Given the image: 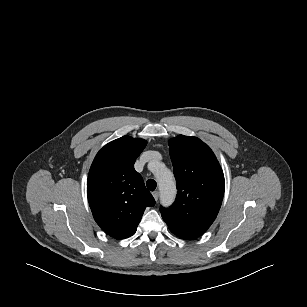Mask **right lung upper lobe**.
<instances>
[{
  "label": "right lung upper lobe",
  "mask_w": 307,
  "mask_h": 307,
  "mask_svg": "<svg viewBox=\"0 0 307 307\" xmlns=\"http://www.w3.org/2000/svg\"><path fill=\"white\" fill-rule=\"evenodd\" d=\"M143 139L123 136L95 156L87 180V196L97 224L110 236L133 235L147 206L155 200L133 165L145 148Z\"/></svg>",
  "instance_id": "obj_1"
}]
</instances>
